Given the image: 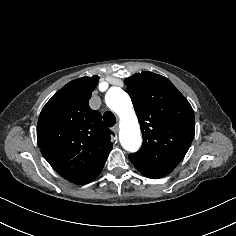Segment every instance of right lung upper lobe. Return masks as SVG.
<instances>
[{
    "mask_svg": "<svg viewBox=\"0 0 236 236\" xmlns=\"http://www.w3.org/2000/svg\"><path fill=\"white\" fill-rule=\"evenodd\" d=\"M97 75L73 80L43 107L37 141L49 164L69 181L97 175L112 149V133L89 107Z\"/></svg>",
    "mask_w": 236,
    "mask_h": 236,
    "instance_id": "cb5924a9",
    "label": "right lung upper lobe"
}]
</instances>
